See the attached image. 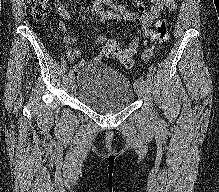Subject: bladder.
<instances>
[{
  "label": "bladder",
  "instance_id": "bladder-1",
  "mask_svg": "<svg viewBox=\"0 0 219 192\" xmlns=\"http://www.w3.org/2000/svg\"><path fill=\"white\" fill-rule=\"evenodd\" d=\"M78 100L90 110L111 114L129 107L135 98L130 80L111 66L89 62L78 69Z\"/></svg>",
  "mask_w": 219,
  "mask_h": 192
}]
</instances>
